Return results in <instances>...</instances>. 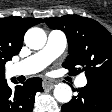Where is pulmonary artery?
<instances>
[{"label": "pulmonary artery", "mask_w": 112, "mask_h": 112, "mask_svg": "<svg viewBox=\"0 0 112 112\" xmlns=\"http://www.w3.org/2000/svg\"><path fill=\"white\" fill-rule=\"evenodd\" d=\"M65 47L66 37L64 33L57 30L50 31L44 48L34 55L12 65L10 72L14 76L35 74L60 56ZM86 83L85 76H79L75 81L78 87H83Z\"/></svg>", "instance_id": "e3ab8cb5"}]
</instances>
